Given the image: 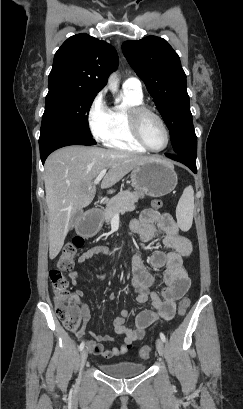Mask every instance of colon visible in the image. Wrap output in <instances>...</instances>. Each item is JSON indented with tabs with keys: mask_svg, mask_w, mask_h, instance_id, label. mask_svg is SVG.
I'll return each mask as SVG.
<instances>
[{
	"mask_svg": "<svg viewBox=\"0 0 243 409\" xmlns=\"http://www.w3.org/2000/svg\"><path fill=\"white\" fill-rule=\"evenodd\" d=\"M154 210L162 208L161 200L152 201ZM84 245V239L76 236L71 243L67 244L58 257V266L50 271V282L53 293V300L56 309V315L63 326L71 332H75L82 320V313L78 304L70 297L68 282L63 275L64 271H69L74 266V259L77 250ZM190 306V299L184 297L181 299L178 308V315L183 316ZM151 350L149 347L140 349V356L143 359L149 358Z\"/></svg>",
	"mask_w": 243,
	"mask_h": 409,
	"instance_id": "5ec220e1",
	"label": "colon"
}]
</instances>
